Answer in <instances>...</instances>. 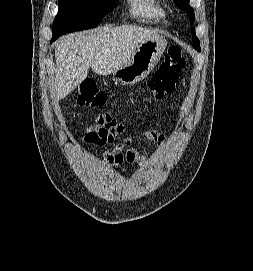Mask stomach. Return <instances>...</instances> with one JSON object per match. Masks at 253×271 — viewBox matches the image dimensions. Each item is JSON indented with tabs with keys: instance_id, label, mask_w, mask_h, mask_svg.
Masks as SVG:
<instances>
[{
	"instance_id": "obj_1",
	"label": "stomach",
	"mask_w": 253,
	"mask_h": 271,
	"mask_svg": "<svg viewBox=\"0 0 253 271\" xmlns=\"http://www.w3.org/2000/svg\"><path fill=\"white\" fill-rule=\"evenodd\" d=\"M166 48L163 37L146 39L133 52L129 61L113 72L116 81L131 85L145 79L160 60Z\"/></svg>"
}]
</instances>
